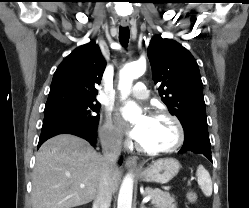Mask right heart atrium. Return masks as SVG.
<instances>
[{
    "instance_id": "d8ad5b80",
    "label": "right heart atrium",
    "mask_w": 249,
    "mask_h": 208,
    "mask_svg": "<svg viewBox=\"0 0 249 208\" xmlns=\"http://www.w3.org/2000/svg\"><path fill=\"white\" fill-rule=\"evenodd\" d=\"M102 140L111 146H120L123 142L119 128L108 117L100 130Z\"/></svg>"
}]
</instances>
